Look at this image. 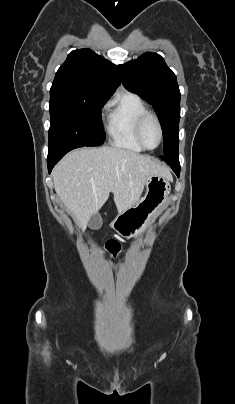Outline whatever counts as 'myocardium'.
I'll return each mask as SVG.
<instances>
[{
    "instance_id": "myocardium-1",
    "label": "myocardium",
    "mask_w": 235,
    "mask_h": 404,
    "mask_svg": "<svg viewBox=\"0 0 235 404\" xmlns=\"http://www.w3.org/2000/svg\"><path fill=\"white\" fill-rule=\"evenodd\" d=\"M148 119H153V120L156 122L157 127H158V130H159V141H158V143H157V145H156L155 147H148V146L144 143L143 138H142L143 126H144L145 122H146ZM135 136H136V139H137V141L139 142V144H140L145 150H154V149L158 148V147L160 146V144L162 143V140H163V127H162L161 121H160V119L158 118V116H157L156 114L152 113V112H149V111L146 112V113H144L143 115H141V116L139 117V119L137 120V122H136V126H135Z\"/></svg>"
}]
</instances>
